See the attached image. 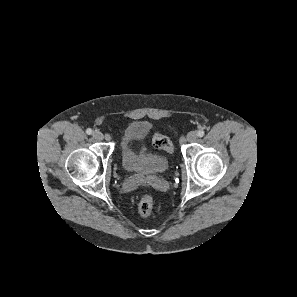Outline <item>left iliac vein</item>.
Segmentation results:
<instances>
[{"instance_id": "1", "label": "left iliac vein", "mask_w": 297, "mask_h": 297, "mask_svg": "<svg viewBox=\"0 0 297 297\" xmlns=\"http://www.w3.org/2000/svg\"><path fill=\"white\" fill-rule=\"evenodd\" d=\"M197 138V133L195 131H191L187 134V141L189 142H195Z\"/></svg>"}]
</instances>
